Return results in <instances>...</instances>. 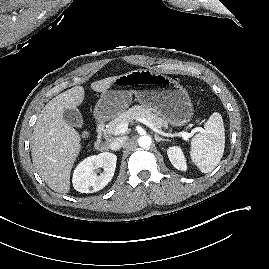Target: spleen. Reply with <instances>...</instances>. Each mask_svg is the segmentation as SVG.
Here are the masks:
<instances>
[{
    "mask_svg": "<svg viewBox=\"0 0 269 269\" xmlns=\"http://www.w3.org/2000/svg\"><path fill=\"white\" fill-rule=\"evenodd\" d=\"M225 148V129L220 113L214 112L204 125L203 132L191 141L192 162L202 173H209L218 166Z\"/></svg>",
    "mask_w": 269,
    "mask_h": 269,
    "instance_id": "1",
    "label": "spleen"
}]
</instances>
